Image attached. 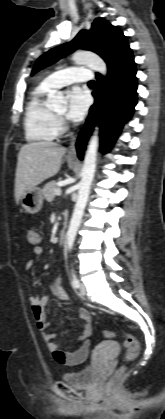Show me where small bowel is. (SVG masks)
Wrapping results in <instances>:
<instances>
[{
  "instance_id": "1",
  "label": "small bowel",
  "mask_w": 165,
  "mask_h": 419,
  "mask_svg": "<svg viewBox=\"0 0 165 419\" xmlns=\"http://www.w3.org/2000/svg\"><path fill=\"white\" fill-rule=\"evenodd\" d=\"M35 235L37 240L33 242L31 236ZM28 240L33 245L32 253L34 256H40L43 254V248L38 244L40 241L39 234L35 230L28 231ZM34 266V261L29 260L26 263V269H31ZM51 289L54 295L61 300H68L69 296L66 290L62 286L61 276L57 275L51 282ZM29 302L32 308V313L36 322V326L43 333V338L46 343L48 350L52 353L55 361L62 365H77L84 362L89 356L92 350V342L90 339L92 332V324L90 320L89 311L86 308H80L78 310V317L84 322L81 333L76 340L75 345L79 346L73 351L62 350L54 341L55 336L51 333H47L46 330L49 327L44 314V307L48 303L46 296H30Z\"/></svg>"
}]
</instances>
